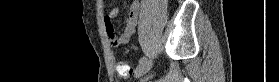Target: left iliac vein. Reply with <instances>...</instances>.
I'll return each mask as SVG.
<instances>
[{
	"label": "left iliac vein",
	"instance_id": "left-iliac-vein-1",
	"mask_svg": "<svg viewBox=\"0 0 279 82\" xmlns=\"http://www.w3.org/2000/svg\"><path fill=\"white\" fill-rule=\"evenodd\" d=\"M152 64V61H145L143 63H140L135 69V77H140L143 74L147 73L151 69Z\"/></svg>",
	"mask_w": 279,
	"mask_h": 82
}]
</instances>
